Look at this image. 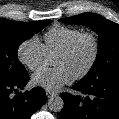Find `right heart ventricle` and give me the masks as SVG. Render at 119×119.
Returning <instances> with one entry per match:
<instances>
[{"instance_id":"e07e8e85","label":"right heart ventricle","mask_w":119,"mask_h":119,"mask_svg":"<svg viewBox=\"0 0 119 119\" xmlns=\"http://www.w3.org/2000/svg\"><path fill=\"white\" fill-rule=\"evenodd\" d=\"M81 31L74 27L56 25L44 35V46L49 55L55 56L68 42Z\"/></svg>"}]
</instances>
